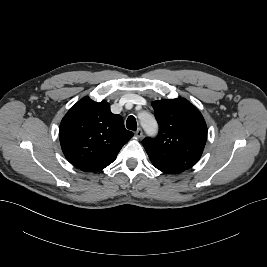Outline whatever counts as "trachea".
<instances>
[{
  "label": "trachea",
  "mask_w": 267,
  "mask_h": 267,
  "mask_svg": "<svg viewBox=\"0 0 267 267\" xmlns=\"http://www.w3.org/2000/svg\"><path fill=\"white\" fill-rule=\"evenodd\" d=\"M126 127L129 130L135 131L137 129V122L134 116H129L126 121Z\"/></svg>",
  "instance_id": "obj_1"
}]
</instances>
